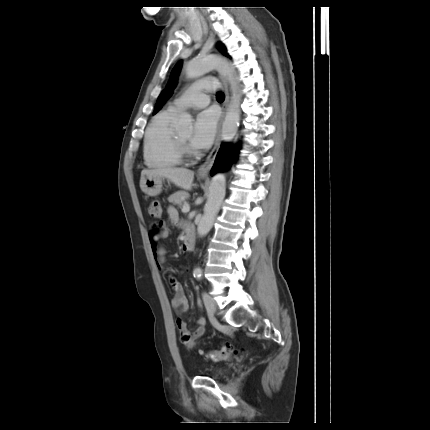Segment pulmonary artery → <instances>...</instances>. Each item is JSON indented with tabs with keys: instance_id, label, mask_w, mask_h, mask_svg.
<instances>
[{
	"instance_id": "1",
	"label": "pulmonary artery",
	"mask_w": 430,
	"mask_h": 430,
	"mask_svg": "<svg viewBox=\"0 0 430 430\" xmlns=\"http://www.w3.org/2000/svg\"><path fill=\"white\" fill-rule=\"evenodd\" d=\"M214 88L215 82L211 79H200L175 99L169 109L177 112L184 108H204L210 102L208 93L212 92Z\"/></svg>"
}]
</instances>
